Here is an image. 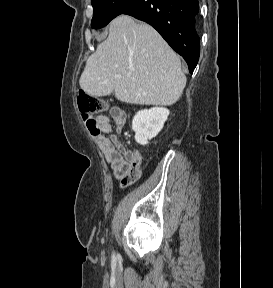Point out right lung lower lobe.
I'll use <instances>...</instances> for the list:
<instances>
[{"label": "right lung lower lobe", "instance_id": "right-lung-lower-lobe-1", "mask_svg": "<svg viewBox=\"0 0 273 288\" xmlns=\"http://www.w3.org/2000/svg\"><path fill=\"white\" fill-rule=\"evenodd\" d=\"M198 0H136L123 14L152 25L187 62L193 73L200 53L196 32Z\"/></svg>", "mask_w": 273, "mask_h": 288}]
</instances>
